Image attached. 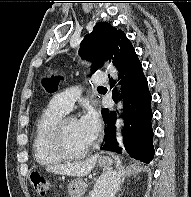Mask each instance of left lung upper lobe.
<instances>
[{"mask_svg":"<svg viewBox=\"0 0 191 197\" xmlns=\"http://www.w3.org/2000/svg\"><path fill=\"white\" fill-rule=\"evenodd\" d=\"M79 54L93 62L92 72L101 66L100 60L112 59L119 72L138 69L141 63L131 42L122 30H117L107 22L97 23L81 43ZM59 77L52 76L42 81L50 93L57 90Z\"/></svg>","mask_w":191,"mask_h":197,"instance_id":"1","label":"left lung upper lobe"}]
</instances>
